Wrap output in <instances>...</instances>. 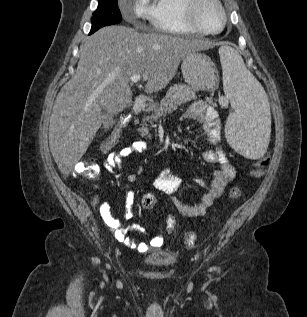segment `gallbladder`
<instances>
[{
  "instance_id": "obj_1",
  "label": "gallbladder",
  "mask_w": 307,
  "mask_h": 317,
  "mask_svg": "<svg viewBox=\"0 0 307 317\" xmlns=\"http://www.w3.org/2000/svg\"><path fill=\"white\" fill-rule=\"evenodd\" d=\"M102 126L104 129H109L113 126V116L110 115L105 109H102Z\"/></svg>"
}]
</instances>
